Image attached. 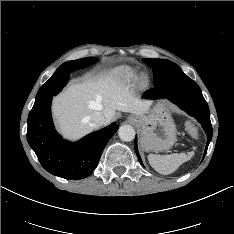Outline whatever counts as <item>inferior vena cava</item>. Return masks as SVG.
Returning a JSON list of instances; mask_svg holds the SVG:
<instances>
[{
    "instance_id": "602c4592",
    "label": "inferior vena cava",
    "mask_w": 234,
    "mask_h": 234,
    "mask_svg": "<svg viewBox=\"0 0 234 234\" xmlns=\"http://www.w3.org/2000/svg\"><path fill=\"white\" fill-rule=\"evenodd\" d=\"M88 120L92 128H99L105 124V117L100 112H94Z\"/></svg>"
}]
</instances>
